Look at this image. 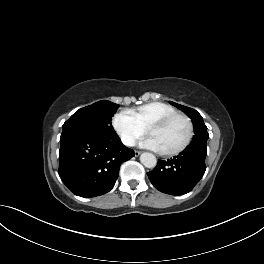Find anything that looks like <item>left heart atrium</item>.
<instances>
[{"label":"left heart atrium","mask_w":264,"mask_h":264,"mask_svg":"<svg viewBox=\"0 0 264 264\" xmlns=\"http://www.w3.org/2000/svg\"><path fill=\"white\" fill-rule=\"evenodd\" d=\"M142 146L157 151V152H161L162 150L160 149L157 141L153 138V137H149L147 138L143 143Z\"/></svg>","instance_id":"obj_1"}]
</instances>
